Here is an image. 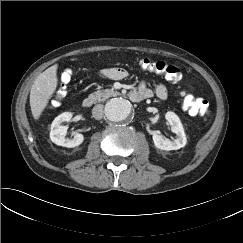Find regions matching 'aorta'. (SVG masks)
Listing matches in <instances>:
<instances>
[{"instance_id":"aorta-1","label":"aorta","mask_w":243,"mask_h":243,"mask_svg":"<svg viewBox=\"0 0 243 243\" xmlns=\"http://www.w3.org/2000/svg\"><path fill=\"white\" fill-rule=\"evenodd\" d=\"M105 115L112 122H122L131 113V104L123 98H114L105 105Z\"/></svg>"}]
</instances>
